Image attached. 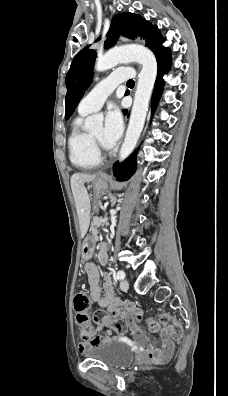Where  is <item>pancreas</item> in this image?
I'll use <instances>...</instances> for the list:
<instances>
[{
    "instance_id": "pancreas-1",
    "label": "pancreas",
    "mask_w": 228,
    "mask_h": 396,
    "mask_svg": "<svg viewBox=\"0 0 228 396\" xmlns=\"http://www.w3.org/2000/svg\"><path fill=\"white\" fill-rule=\"evenodd\" d=\"M106 212H109V209H106ZM108 219L107 215H103V216H95L92 217V220H95L93 223V227H92V232L97 236V240L98 238V231H97V227H99V229H102V226H105L106 220Z\"/></svg>"
}]
</instances>
